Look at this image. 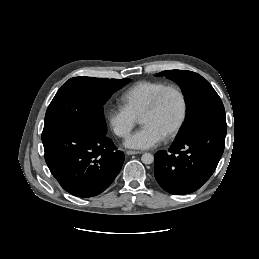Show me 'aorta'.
I'll use <instances>...</instances> for the list:
<instances>
[{
	"instance_id": "obj_1",
	"label": "aorta",
	"mask_w": 259,
	"mask_h": 259,
	"mask_svg": "<svg viewBox=\"0 0 259 259\" xmlns=\"http://www.w3.org/2000/svg\"><path fill=\"white\" fill-rule=\"evenodd\" d=\"M144 164H151L154 161V156L151 153H144L141 157Z\"/></svg>"
}]
</instances>
